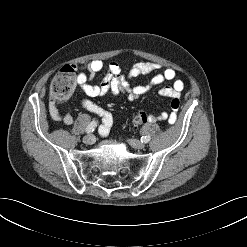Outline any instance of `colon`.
<instances>
[{"label":"colon","instance_id":"obj_1","mask_svg":"<svg viewBox=\"0 0 247 247\" xmlns=\"http://www.w3.org/2000/svg\"><path fill=\"white\" fill-rule=\"evenodd\" d=\"M77 78L75 76V68L72 65L64 66L53 78L50 84V98L53 103L68 100L76 87ZM180 102L175 99L172 102V107L178 109ZM148 116L146 112L139 111L133 117L132 125L138 128L147 122Z\"/></svg>","mask_w":247,"mask_h":247}]
</instances>
